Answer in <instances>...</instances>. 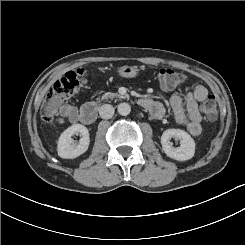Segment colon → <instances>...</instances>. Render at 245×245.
<instances>
[{"label":"colon","mask_w":245,"mask_h":245,"mask_svg":"<svg viewBox=\"0 0 245 245\" xmlns=\"http://www.w3.org/2000/svg\"><path fill=\"white\" fill-rule=\"evenodd\" d=\"M157 78L160 86L165 90L174 89L183 81V76L170 68H161L157 73ZM86 79V70L78 68L67 72L57 80L44 97L40 110L42 120L51 124L56 123L60 107L82 87ZM200 109L207 120H216L218 110L214 97L204 99Z\"/></svg>","instance_id":"1"}]
</instances>
